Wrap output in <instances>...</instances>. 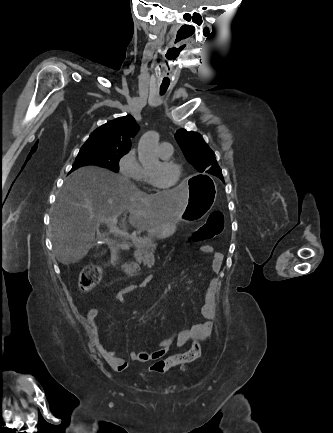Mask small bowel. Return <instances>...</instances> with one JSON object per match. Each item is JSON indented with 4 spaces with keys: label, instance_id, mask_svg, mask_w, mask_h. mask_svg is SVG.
Listing matches in <instances>:
<instances>
[{
    "label": "small bowel",
    "instance_id": "small-bowel-1",
    "mask_svg": "<svg viewBox=\"0 0 333 433\" xmlns=\"http://www.w3.org/2000/svg\"><path fill=\"white\" fill-rule=\"evenodd\" d=\"M201 251L205 253H210L213 255L212 260V271L218 272L223 260V254L221 252L215 251V249L210 245L201 246ZM153 277L151 275L147 276L139 285L140 287L147 286ZM135 287H126L119 290L115 298L117 301L123 302L127 295L131 293ZM200 315L205 320L204 322L193 324L185 329L169 334L162 342H160L157 349L153 351L144 352H129V358L133 361L148 362L151 366L163 360L164 355L170 350L172 346L182 347L191 339L203 340L207 338L212 331L213 322L216 311V294L211 287H207L204 292L203 301L199 307ZM98 310L92 308L87 311L85 320L89 326L93 343L97 351L105 358V360L116 370H123L127 366V360L118 355L114 351L110 350L104 344L101 337L100 325L97 321Z\"/></svg>",
    "mask_w": 333,
    "mask_h": 433
}]
</instances>
